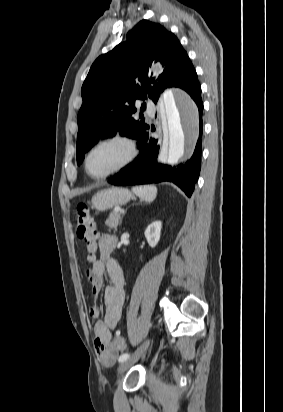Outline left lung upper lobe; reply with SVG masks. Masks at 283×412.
Masks as SVG:
<instances>
[{"instance_id": "5c2ea615", "label": "left lung upper lobe", "mask_w": 283, "mask_h": 412, "mask_svg": "<svg viewBox=\"0 0 283 412\" xmlns=\"http://www.w3.org/2000/svg\"><path fill=\"white\" fill-rule=\"evenodd\" d=\"M160 61L163 73L148 77L151 63ZM194 69L186 51L174 34L147 20L137 23L126 41L99 56L82 86L83 104L77 116V164L103 137L135 138L149 125L135 119L136 100L157 102L159 93L175 86ZM146 108L142 104L140 112ZM141 115V114H140ZM141 117V116H140Z\"/></svg>"}]
</instances>
